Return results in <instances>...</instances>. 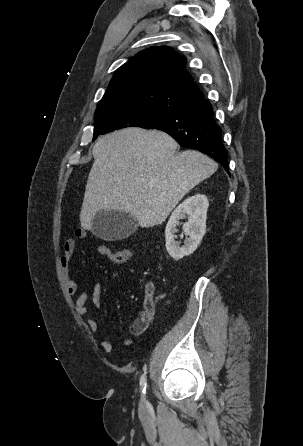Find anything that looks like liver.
Segmentation results:
<instances>
[{
	"instance_id": "obj_1",
	"label": "liver",
	"mask_w": 303,
	"mask_h": 446,
	"mask_svg": "<svg viewBox=\"0 0 303 446\" xmlns=\"http://www.w3.org/2000/svg\"><path fill=\"white\" fill-rule=\"evenodd\" d=\"M177 143L161 131L126 128L100 137L93 147L80 212L81 226L92 230L99 211H121L139 226L165 221L192 188L210 177L218 164L187 150L176 155Z\"/></svg>"
}]
</instances>
